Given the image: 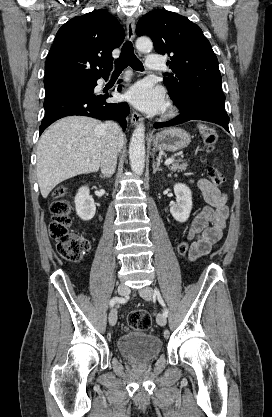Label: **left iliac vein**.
Returning <instances> with one entry per match:
<instances>
[{"mask_svg":"<svg viewBox=\"0 0 272 417\" xmlns=\"http://www.w3.org/2000/svg\"><path fill=\"white\" fill-rule=\"evenodd\" d=\"M139 294L144 300L149 301V300H152L153 295H154V291H153L152 287L146 286L139 291ZM156 321H157L158 325H160V326H165L166 323H167L166 317L163 316V314H161V313H159L157 315Z\"/></svg>","mask_w":272,"mask_h":417,"instance_id":"4c4485c4","label":"left iliac vein"}]
</instances>
